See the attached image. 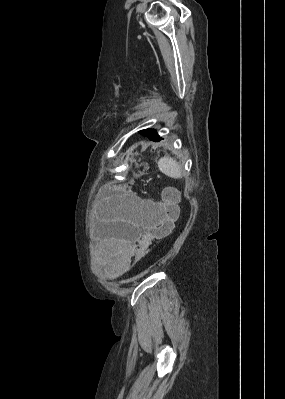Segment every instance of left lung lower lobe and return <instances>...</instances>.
Returning <instances> with one entry per match:
<instances>
[{
  "label": "left lung lower lobe",
  "mask_w": 285,
  "mask_h": 399,
  "mask_svg": "<svg viewBox=\"0 0 285 399\" xmlns=\"http://www.w3.org/2000/svg\"><path fill=\"white\" fill-rule=\"evenodd\" d=\"M142 135H144V134H142ZM144 136H147L150 140H153V141L159 140L158 135H144Z\"/></svg>",
  "instance_id": "1"
}]
</instances>
